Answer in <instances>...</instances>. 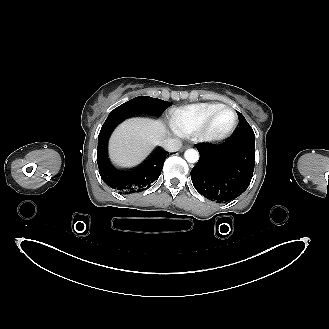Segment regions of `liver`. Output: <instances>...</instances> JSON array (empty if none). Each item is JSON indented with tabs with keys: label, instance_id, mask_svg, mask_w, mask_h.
<instances>
[{
	"label": "liver",
	"instance_id": "1",
	"mask_svg": "<svg viewBox=\"0 0 329 329\" xmlns=\"http://www.w3.org/2000/svg\"><path fill=\"white\" fill-rule=\"evenodd\" d=\"M166 136L161 120L132 118L121 123L110 139V156L120 167L138 164Z\"/></svg>",
	"mask_w": 329,
	"mask_h": 329
}]
</instances>
